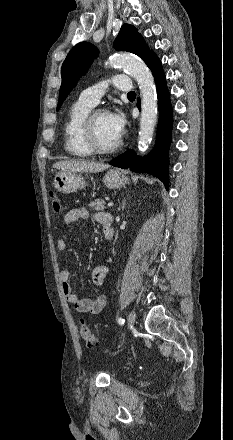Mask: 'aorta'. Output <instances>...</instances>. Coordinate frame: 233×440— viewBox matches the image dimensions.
I'll return each mask as SVG.
<instances>
[{
	"instance_id": "aorta-1",
	"label": "aorta",
	"mask_w": 233,
	"mask_h": 440,
	"mask_svg": "<svg viewBox=\"0 0 233 440\" xmlns=\"http://www.w3.org/2000/svg\"><path fill=\"white\" fill-rule=\"evenodd\" d=\"M110 64L124 69L132 76L141 93V117L138 148L144 151L152 141L157 122V94L153 75L146 64L132 54H119L110 60Z\"/></svg>"
}]
</instances>
